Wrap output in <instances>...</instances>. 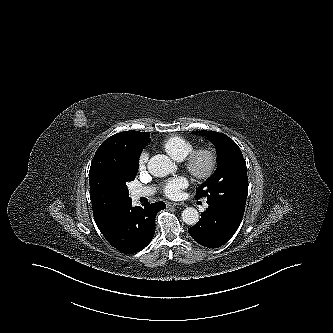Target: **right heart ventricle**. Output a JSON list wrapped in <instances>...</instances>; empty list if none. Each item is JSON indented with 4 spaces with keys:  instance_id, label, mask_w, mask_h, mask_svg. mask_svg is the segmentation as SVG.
<instances>
[{
    "instance_id": "e07e8e85",
    "label": "right heart ventricle",
    "mask_w": 333,
    "mask_h": 333,
    "mask_svg": "<svg viewBox=\"0 0 333 333\" xmlns=\"http://www.w3.org/2000/svg\"><path fill=\"white\" fill-rule=\"evenodd\" d=\"M162 149L175 161H183L194 149V143L181 136H171L165 139Z\"/></svg>"
}]
</instances>
